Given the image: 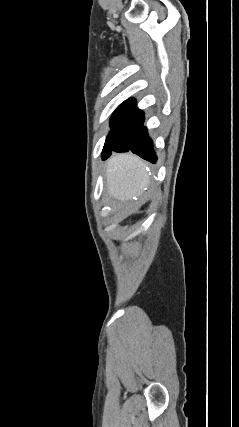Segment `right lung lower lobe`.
<instances>
[{
    "label": "right lung lower lobe",
    "mask_w": 239,
    "mask_h": 427,
    "mask_svg": "<svg viewBox=\"0 0 239 427\" xmlns=\"http://www.w3.org/2000/svg\"><path fill=\"white\" fill-rule=\"evenodd\" d=\"M128 151H131L134 154H137L143 159L150 161L152 163L156 161V155L153 150L152 141L148 137L147 130L146 128H143V125L135 135L129 148L123 149V150H117L115 152H128ZM107 158L105 157L103 159L105 160Z\"/></svg>",
    "instance_id": "98d812e1"
}]
</instances>
